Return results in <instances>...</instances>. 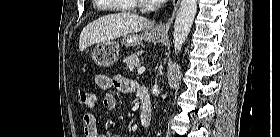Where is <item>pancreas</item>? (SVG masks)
Returning a JSON list of instances; mask_svg holds the SVG:
<instances>
[{
  "mask_svg": "<svg viewBox=\"0 0 280 137\" xmlns=\"http://www.w3.org/2000/svg\"><path fill=\"white\" fill-rule=\"evenodd\" d=\"M140 55L141 53H135L124 59V63L126 64L127 70L134 71L135 69L140 67V63L138 61Z\"/></svg>",
  "mask_w": 280,
  "mask_h": 137,
  "instance_id": "cf45deb5",
  "label": "pancreas"
}]
</instances>
